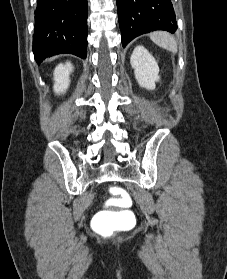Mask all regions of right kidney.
Masks as SVG:
<instances>
[{
	"label": "right kidney",
	"instance_id": "ca27d5eb",
	"mask_svg": "<svg viewBox=\"0 0 227 279\" xmlns=\"http://www.w3.org/2000/svg\"><path fill=\"white\" fill-rule=\"evenodd\" d=\"M73 67L70 62L59 64L54 70V91L58 94L64 93L69 86V75Z\"/></svg>",
	"mask_w": 227,
	"mask_h": 279
}]
</instances>
